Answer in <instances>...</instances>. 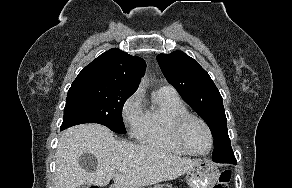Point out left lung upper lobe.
I'll use <instances>...</instances> for the list:
<instances>
[{
    "label": "left lung upper lobe",
    "instance_id": "1",
    "mask_svg": "<svg viewBox=\"0 0 292 188\" xmlns=\"http://www.w3.org/2000/svg\"><path fill=\"white\" fill-rule=\"evenodd\" d=\"M157 61L167 81L208 124L214 138L212 159L215 162L229 159L234 153L223 101L208 73L182 51L159 54Z\"/></svg>",
    "mask_w": 292,
    "mask_h": 188
}]
</instances>
